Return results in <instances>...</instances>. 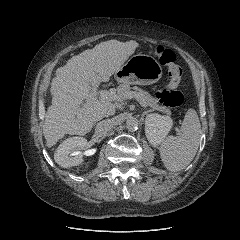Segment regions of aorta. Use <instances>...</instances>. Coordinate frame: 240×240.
Wrapping results in <instances>:
<instances>
[{"instance_id":"1","label":"aorta","mask_w":240,"mask_h":240,"mask_svg":"<svg viewBox=\"0 0 240 240\" xmlns=\"http://www.w3.org/2000/svg\"><path fill=\"white\" fill-rule=\"evenodd\" d=\"M138 119L134 116H127L126 120H125V125H126V128L129 130V131H134L138 128Z\"/></svg>"}]
</instances>
